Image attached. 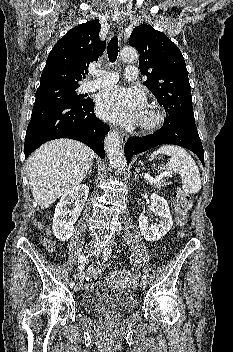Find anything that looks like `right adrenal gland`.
Returning a JSON list of instances; mask_svg holds the SVG:
<instances>
[{
  "instance_id": "right-adrenal-gland-1",
  "label": "right adrenal gland",
  "mask_w": 233,
  "mask_h": 352,
  "mask_svg": "<svg viewBox=\"0 0 233 352\" xmlns=\"http://www.w3.org/2000/svg\"><path fill=\"white\" fill-rule=\"evenodd\" d=\"M92 173V166L90 167L89 171H88V174H91Z\"/></svg>"
}]
</instances>
